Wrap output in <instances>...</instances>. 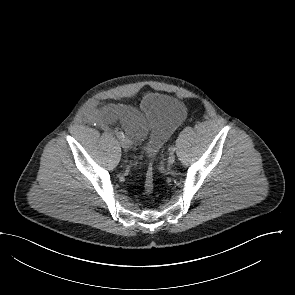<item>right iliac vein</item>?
Here are the masks:
<instances>
[{
    "label": "right iliac vein",
    "mask_w": 295,
    "mask_h": 295,
    "mask_svg": "<svg viewBox=\"0 0 295 295\" xmlns=\"http://www.w3.org/2000/svg\"><path fill=\"white\" fill-rule=\"evenodd\" d=\"M121 145L125 150H128L131 146V141L127 138L121 140Z\"/></svg>",
    "instance_id": "1"
}]
</instances>
